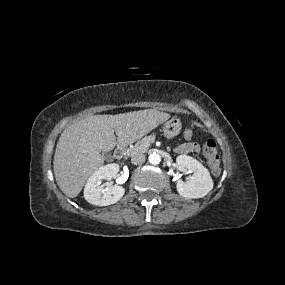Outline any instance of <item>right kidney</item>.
Returning <instances> with one entry per match:
<instances>
[{"label":"right kidney","instance_id":"right-kidney-1","mask_svg":"<svg viewBox=\"0 0 285 285\" xmlns=\"http://www.w3.org/2000/svg\"><path fill=\"white\" fill-rule=\"evenodd\" d=\"M119 171V165L112 163L97 169L87 180L84 198L95 206H107L119 201L125 189L119 185L106 186L102 181H110Z\"/></svg>","mask_w":285,"mask_h":285}]
</instances>
